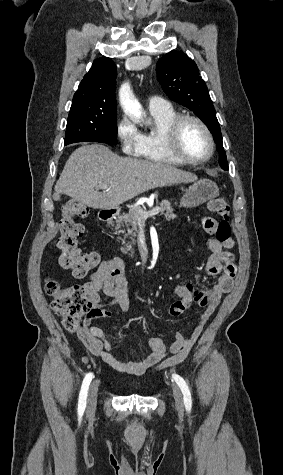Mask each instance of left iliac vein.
Segmentation results:
<instances>
[{"mask_svg":"<svg viewBox=\"0 0 283 475\" xmlns=\"http://www.w3.org/2000/svg\"><path fill=\"white\" fill-rule=\"evenodd\" d=\"M171 388H172V391H173V396H174V399H175L176 407L178 408L179 412H182L183 411V406H184L182 392H181L180 388L178 387V385L175 384V383L171 384Z\"/></svg>","mask_w":283,"mask_h":475,"instance_id":"4c4485c4","label":"left iliac vein"}]
</instances>
